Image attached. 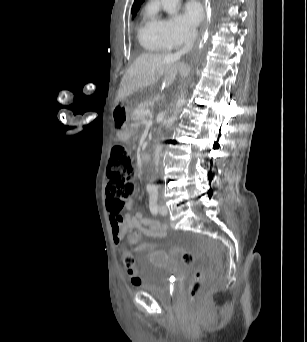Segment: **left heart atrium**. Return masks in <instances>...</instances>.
I'll use <instances>...</instances> for the list:
<instances>
[{
  "label": "left heart atrium",
  "mask_w": 307,
  "mask_h": 342,
  "mask_svg": "<svg viewBox=\"0 0 307 342\" xmlns=\"http://www.w3.org/2000/svg\"><path fill=\"white\" fill-rule=\"evenodd\" d=\"M204 12L200 4L196 2H190L186 5L182 13V25L187 29L188 34L185 36V40L191 39L192 32L195 31L197 26L203 20Z\"/></svg>",
  "instance_id": "obj_1"
}]
</instances>
